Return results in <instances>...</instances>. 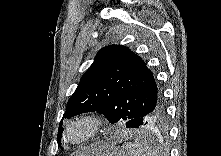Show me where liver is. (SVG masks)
Returning <instances> with one entry per match:
<instances>
[{
	"instance_id": "1",
	"label": "liver",
	"mask_w": 221,
	"mask_h": 156,
	"mask_svg": "<svg viewBox=\"0 0 221 156\" xmlns=\"http://www.w3.org/2000/svg\"><path fill=\"white\" fill-rule=\"evenodd\" d=\"M100 148V146H97V145H94L90 148H87L85 150V153L88 154V155H93L95 151H97L98 149Z\"/></svg>"
}]
</instances>
